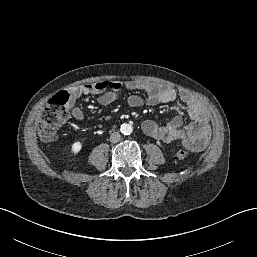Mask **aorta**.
<instances>
[{"instance_id": "aorta-1", "label": "aorta", "mask_w": 257, "mask_h": 257, "mask_svg": "<svg viewBox=\"0 0 257 257\" xmlns=\"http://www.w3.org/2000/svg\"><path fill=\"white\" fill-rule=\"evenodd\" d=\"M120 130L124 135H129L132 133L133 127L130 124L124 123L121 125Z\"/></svg>"}]
</instances>
